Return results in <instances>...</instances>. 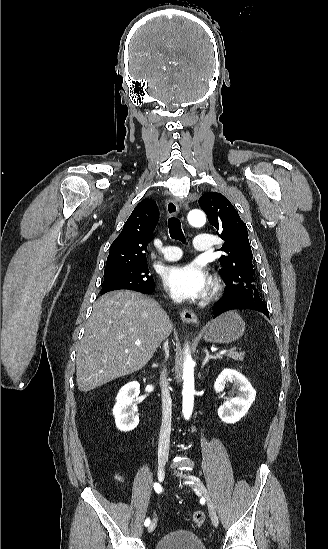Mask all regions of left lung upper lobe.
<instances>
[{"instance_id": "left-lung-upper-lobe-1", "label": "left lung upper lobe", "mask_w": 328, "mask_h": 549, "mask_svg": "<svg viewBox=\"0 0 328 549\" xmlns=\"http://www.w3.org/2000/svg\"><path fill=\"white\" fill-rule=\"evenodd\" d=\"M199 205L224 240L220 249L223 255L219 259V274L226 283L225 295L261 301L246 224L230 201L220 193H205L199 199Z\"/></svg>"}]
</instances>
